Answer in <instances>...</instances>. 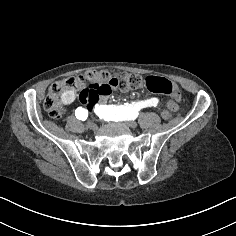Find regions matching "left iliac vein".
Here are the masks:
<instances>
[{"instance_id":"left-iliac-vein-1","label":"left iliac vein","mask_w":236,"mask_h":236,"mask_svg":"<svg viewBox=\"0 0 236 236\" xmlns=\"http://www.w3.org/2000/svg\"><path fill=\"white\" fill-rule=\"evenodd\" d=\"M130 128L135 129L138 126V123L135 120H132L129 123Z\"/></svg>"}]
</instances>
